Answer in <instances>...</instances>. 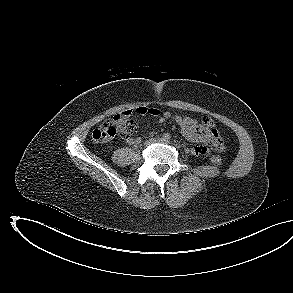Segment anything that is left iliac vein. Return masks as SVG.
Listing matches in <instances>:
<instances>
[{
	"instance_id": "4c4485c4",
	"label": "left iliac vein",
	"mask_w": 293,
	"mask_h": 293,
	"mask_svg": "<svg viewBox=\"0 0 293 293\" xmlns=\"http://www.w3.org/2000/svg\"><path fill=\"white\" fill-rule=\"evenodd\" d=\"M158 142H160V143H164V144H169V141H165V140H163V139H159Z\"/></svg>"
}]
</instances>
